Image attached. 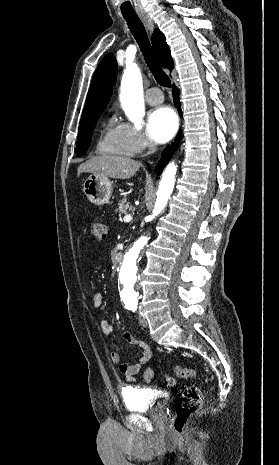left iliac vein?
<instances>
[{
  "instance_id": "1",
  "label": "left iliac vein",
  "mask_w": 279,
  "mask_h": 465,
  "mask_svg": "<svg viewBox=\"0 0 279 465\" xmlns=\"http://www.w3.org/2000/svg\"><path fill=\"white\" fill-rule=\"evenodd\" d=\"M139 323L142 327H147L148 326V321L147 319L145 318V316L143 314H139Z\"/></svg>"
}]
</instances>
